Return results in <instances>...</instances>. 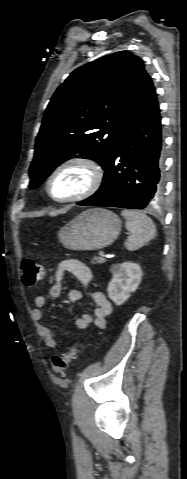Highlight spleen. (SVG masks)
Returning a JSON list of instances; mask_svg holds the SVG:
<instances>
[{
    "label": "spleen",
    "mask_w": 187,
    "mask_h": 479,
    "mask_svg": "<svg viewBox=\"0 0 187 479\" xmlns=\"http://www.w3.org/2000/svg\"><path fill=\"white\" fill-rule=\"evenodd\" d=\"M121 215L126 219V228L130 232V236L125 243L129 251H135L156 235V228L146 214L136 210H122Z\"/></svg>",
    "instance_id": "3e777b00"
}]
</instances>
